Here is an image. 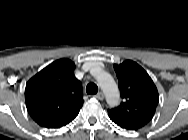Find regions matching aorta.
Segmentation results:
<instances>
[{"mask_svg": "<svg viewBox=\"0 0 188 140\" xmlns=\"http://www.w3.org/2000/svg\"><path fill=\"white\" fill-rule=\"evenodd\" d=\"M98 84L105 94L107 103L111 107L116 106L119 102L120 94L112 76L106 72H102L98 77Z\"/></svg>", "mask_w": 188, "mask_h": 140, "instance_id": "762f6f07", "label": "aorta"}]
</instances>
